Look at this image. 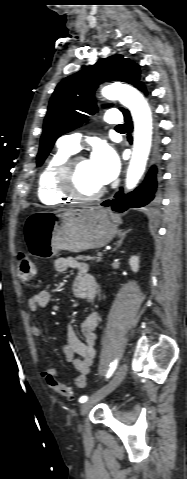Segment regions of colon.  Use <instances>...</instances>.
<instances>
[{
	"label": "colon",
	"mask_w": 187,
	"mask_h": 479,
	"mask_svg": "<svg viewBox=\"0 0 187 479\" xmlns=\"http://www.w3.org/2000/svg\"><path fill=\"white\" fill-rule=\"evenodd\" d=\"M16 261L20 280L24 284L30 283L36 273L35 263L25 253H19L17 255ZM46 381L53 392L68 399L73 398V392L71 388L58 381L55 377L47 375Z\"/></svg>",
	"instance_id": "obj_1"
}]
</instances>
